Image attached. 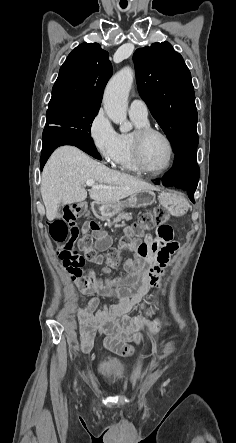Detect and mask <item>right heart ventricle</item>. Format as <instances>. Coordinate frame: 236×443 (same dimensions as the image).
<instances>
[{"mask_svg":"<svg viewBox=\"0 0 236 443\" xmlns=\"http://www.w3.org/2000/svg\"><path fill=\"white\" fill-rule=\"evenodd\" d=\"M136 127H142L145 125H149L147 120H140L134 117H131ZM132 135L133 133H122L120 134V145H121V154L117 161V166L127 172H138L139 170L135 166L132 152Z\"/></svg>","mask_w":236,"mask_h":443,"instance_id":"1","label":"right heart ventricle"}]
</instances>
